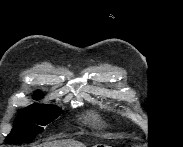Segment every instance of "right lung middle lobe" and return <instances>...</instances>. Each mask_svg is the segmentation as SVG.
Returning a JSON list of instances; mask_svg holds the SVG:
<instances>
[{"label": "right lung middle lobe", "mask_w": 183, "mask_h": 147, "mask_svg": "<svg viewBox=\"0 0 183 147\" xmlns=\"http://www.w3.org/2000/svg\"><path fill=\"white\" fill-rule=\"evenodd\" d=\"M39 97V93H35ZM61 110L53 105H32L21 111L15 119L13 129L6 141L10 143L31 142L43 131L44 125L54 121Z\"/></svg>", "instance_id": "obj_1"}]
</instances>
